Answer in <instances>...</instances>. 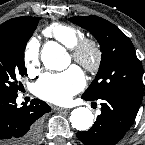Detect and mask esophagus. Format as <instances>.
Here are the masks:
<instances>
[{"label":"esophagus","mask_w":145,"mask_h":145,"mask_svg":"<svg viewBox=\"0 0 145 145\" xmlns=\"http://www.w3.org/2000/svg\"><path fill=\"white\" fill-rule=\"evenodd\" d=\"M56 110H57V111H60V112H66V111H69L68 108H61V107H57Z\"/></svg>","instance_id":"esophagus-1"}]
</instances>
